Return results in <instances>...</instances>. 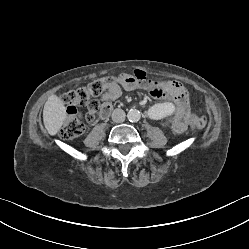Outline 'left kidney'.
I'll use <instances>...</instances> for the list:
<instances>
[{"mask_svg":"<svg viewBox=\"0 0 249 249\" xmlns=\"http://www.w3.org/2000/svg\"><path fill=\"white\" fill-rule=\"evenodd\" d=\"M176 104L172 100L160 101L147 112V120L154 118L156 121H161L163 118L169 117L176 111Z\"/></svg>","mask_w":249,"mask_h":249,"instance_id":"left-kidney-1","label":"left kidney"}]
</instances>
